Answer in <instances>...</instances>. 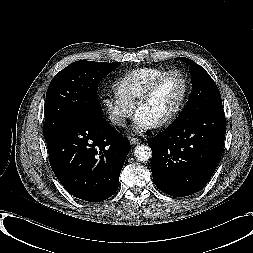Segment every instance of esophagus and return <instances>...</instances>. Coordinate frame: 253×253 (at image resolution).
Here are the masks:
<instances>
[{"instance_id": "1", "label": "esophagus", "mask_w": 253, "mask_h": 253, "mask_svg": "<svg viewBox=\"0 0 253 253\" xmlns=\"http://www.w3.org/2000/svg\"><path fill=\"white\" fill-rule=\"evenodd\" d=\"M129 141L130 143L135 146V145H139L141 143V141L137 138H134V137H129Z\"/></svg>"}]
</instances>
